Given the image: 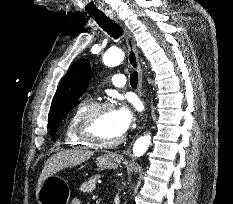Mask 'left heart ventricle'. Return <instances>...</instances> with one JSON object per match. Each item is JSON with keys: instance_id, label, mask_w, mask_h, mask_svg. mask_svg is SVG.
<instances>
[{"instance_id": "obj_1", "label": "left heart ventricle", "mask_w": 233, "mask_h": 204, "mask_svg": "<svg viewBox=\"0 0 233 204\" xmlns=\"http://www.w3.org/2000/svg\"><path fill=\"white\" fill-rule=\"evenodd\" d=\"M93 132L97 137L105 140L116 139L122 135L115 125L113 109H107L98 114Z\"/></svg>"}]
</instances>
